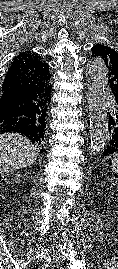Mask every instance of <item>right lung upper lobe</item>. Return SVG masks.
Segmentation results:
<instances>
[{"mask_svg":"<svg viewBox=\"0 0 118 269\" xmlns=\"http://www.w3.org/2000/svg\"><path fill=\"white\" fill-rule=\"evenodd\" d=\"M49 66L31 51L16 56L5 76L2 90L20 89L36 91V123L41 133L46 128V117L51 100Z\"/></svg>","mask_w":118,"mask_h":269,"instance_id":"cb5924a9","label":"right lung upper lobe"}]
</instances>
